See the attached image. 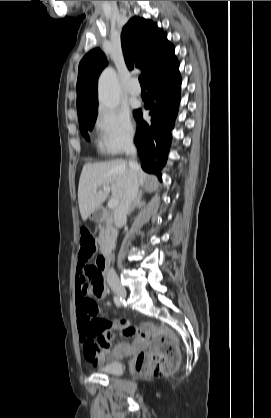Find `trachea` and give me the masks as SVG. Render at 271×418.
<instances>
[{
	"label": "trachea",
	"instance_id": "3493384b",
	"mask_svg": "<svg viewBox=\"0 0 271 418\" xmlns=\"http://www.w3.org/2000/svg\"><path fill=\"white\" fill-rule=\"evenodd\" d=\"M139 82H140V85L141 86H144V78H143V76L141 75V76H139Z\"/></svg>",
	"mask_w": 271,
	"mask_h": 418
}]
</instances>
